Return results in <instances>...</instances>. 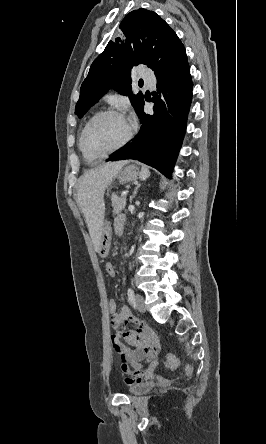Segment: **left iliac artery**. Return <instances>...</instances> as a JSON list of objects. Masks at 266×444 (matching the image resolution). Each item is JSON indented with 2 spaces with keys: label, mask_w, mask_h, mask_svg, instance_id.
Returning <instances> with one entry per match:
<instances>
[{
  "label": "left iliac artery",
  "mask_w": 266,
  "mask_h": 444,
  "mask_svg": "<svg viewBox=\"0 0 266 444\" xmlns=\"http://www.w3.org/2000/svg\"><path fill=\"white\" fill-rule=\"evenodd\" d=\"M127 295H128L129 302L134 303L135 302V294H134V291L132 288H128Z\"/></svg>",
  "instance_id": "left-iliac-artery-1"
}]
</instances>
